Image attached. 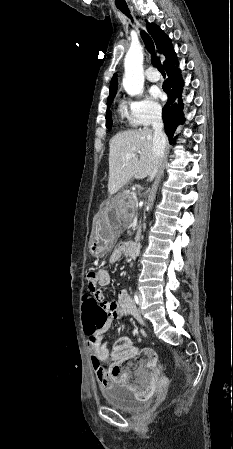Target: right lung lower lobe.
Masks as SVG:
<instances>
[{"label": "right lung lower lobe", "mask_w": 233, "mask_h": 449, "mask_svg": "<svg viewBox=\"0 0 233 449\" xmlns=\"http://www.w3.org/2000/svg\"><path fill=\"white\" fill-rule=\"evenodd\" d=\"M175 63L164 67L168 78L164 84V90L167 92L169 101L163 107L162 117L165 125V132L169 136L170 141L175 142L176 137L173 134L178 125L184 123L183 103H182V88L183 79L181 71L176 68Z\"/></svg>", "instance_id": "1"}]
</instances>
